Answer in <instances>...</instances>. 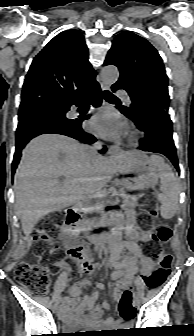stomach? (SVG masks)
<instances>
[{
	"label": "stomach",
	"instance_id": "stomach-1",
	"mask_svg": "<svg viewBox=\"0 0 194 336\" xmlns=\"http://www.w3.org/2000/svg\"><path fill=\"white\" fill-rule=\"evenodd\" d=\"M124 174L137 175L136 183L140 189L153 188L158 182V173L155 165L144 154L138 152L124 153L115 159Z\"/></svg>",
	"mask_w": 194,
	"mask_h": 336
}]
</instances>
